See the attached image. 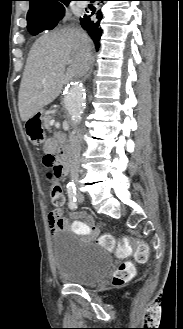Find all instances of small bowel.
Masks as SVG:
<instances>
[{"label":"small bowel","mask_w":183,"mask_h":329,"mask_svg":"<svg viewBox=\"0 0 183 329\" xmlns=\"http://www.w3.org/2000/svg\"><path fill=\"white\" fill-rule=\"evenodd\" d=\"M58 142L56 139H48L44 144L45 154H55ZM79 217L86 220H73L71 222L72 232H76L77 236H91L92 232H97V225H93V220L84 213H78ZM47 223L52 234L58 231L67 230L70 228L69 221L63 216L60 210L51 211L47 215ZM85 240H87L85 238Z\"/></svg>","instance_id":"small-bowel-1"}]
</instances>
